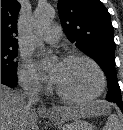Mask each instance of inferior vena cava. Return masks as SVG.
Returning a JSON list of instances; mask_svg holds the SVG:
<instances>
[{
    "label": "inferior vena cava",
    "mask_w": 123,
    "mask_h": 130,
    "mask_svg": "<svg viewBox=\"0 0 123 130\" xmlns=\"http://www.w3.org/2000/svg\"><path fill=\"white\" fill-rule=\"evenodd\" d=\"M24 96L27 98L29 106L41 102L39 91L36 85L33 84L26 85Z\"/></svg>",
    "instance_id": "1"
}]
</instances>
